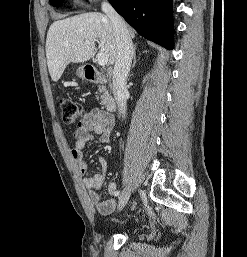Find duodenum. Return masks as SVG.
Returning <instances> with one entry per match:
<instances>
[{"label": "duodenum", "instance_id": "410a0bca", "mask_svg": "<svg viewBox=\"0 0 247 257\" xmlns=\"http://www.w3.org/2000/svg\"><path fill=\"white\" fill-rule=\"evenodd\" d=\"M84 77L87 81L91 83H106L110 81V76L108 74H104L97 70L95 67L91 65H87L84 68ZM104 107L107 111L113 112L116 109V101L115 98L111 94H106L104 96Z\"/></svg>", "mask_w": 247, "mask_h": 257}]
</instances>
